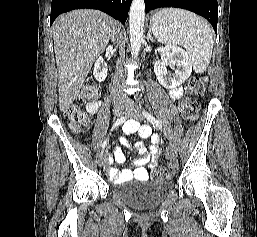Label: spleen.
Wrapping results in <instances>:
<instances>
[{
	"mask_svg": "<svg viewBox=\"0 0 257 237\" xmlns=\"http://www.w3.org/2000/svg\"><path fill=\"white\" fill-rule=\"evenodd\" d=\"M150 23L157 41L183 46L194 71H206L212 56L213 34L204 19L189 11L170 8L158 11Z\"/></svg>",
	"mask_w": 257,
	"mask_h": 237,
	"instance_id": "obj_1",
	"label": "spleen"
}]
</instances>
